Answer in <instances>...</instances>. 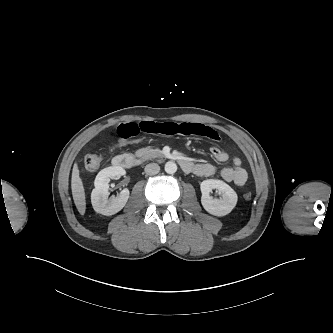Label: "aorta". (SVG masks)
I'll return each instance as SVG.
<instances>
[{
	"mask_svg": "<svg viewBox=\"0 0 333 333\" xmlns=\"http://www.w3.org/2000/svg\"><path fill=\"white\" fill-rule=\"evenodd\" d=\"M165 172L168 173V174H174L176 173L177 171V165L175 162L173 161H168L166 164H165Z\"/></svg>",
	"mask_w": 333,
	"mask_h": 333,
	"instance_id": "obj_1",
	"label": "aorta"
}]
</instances>
